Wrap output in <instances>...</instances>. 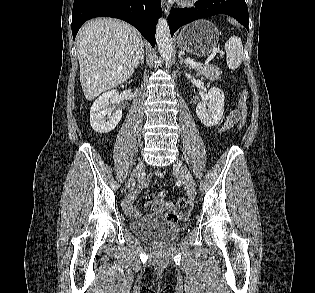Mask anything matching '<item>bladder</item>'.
<instances>
[{"instance_id": "obj_1", "label": "bladder", "mask_w": 315, "mask_h": 293, "mask_svg": "<svg viewBox=\"0 0 315 293\" xmlns=\"http://www.w3.org/2000/svg\"><path fill=\"white\" fill-rule=\"evenodd\" d=\"M182 229L181 225L162 219L140 218L131 222V230L137 236L158 246L174 242Z\"/></svg>"}]
</instances>
